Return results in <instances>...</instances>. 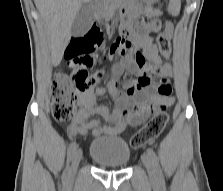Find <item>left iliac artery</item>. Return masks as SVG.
<instances>
[{"mask_svg": "<svg viewBox=\"0 0 223 191\" xmlns=\"http://www.w3.org/2000/svg\"><path fill=\"white\" fill-rule=\"evenodd\" d=\"M147 154L150 157V159H151V161L154 165L155 172H156V177H157V180H158L159 184L164 185V177H163V174H162V171H161V168H160L158 158H157V155H156L155 151L152 148H148L147 149Z\"/></svg>", "mask_w": 223, "mask_h": 191, "instance_id": "obj_1", "label": "left iliac artery"}]
</instances>
